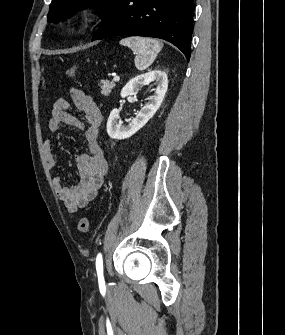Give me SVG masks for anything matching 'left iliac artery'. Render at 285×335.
I'll return each mask as SVG.
<instances>
[{"label":"left iliac artery","mask_w":285,"mask_h":335,"mask_svg":"<svg viewBox=\"0 0 285 335\" xmlns=\"http://www.w3.org/2000/svg\"><path fill=\"white\" fill-rule=\"evenodd\" d=\"M96 270H97V275L98 279L103 278V259L101 253H99L96 257Z\"/></svg>","instance_id":"left-iliac-artery-1"}]
</instances>
